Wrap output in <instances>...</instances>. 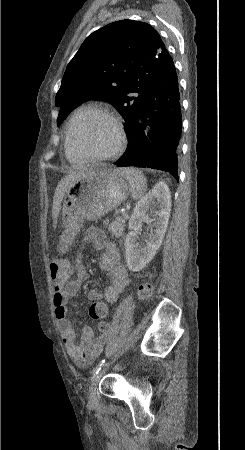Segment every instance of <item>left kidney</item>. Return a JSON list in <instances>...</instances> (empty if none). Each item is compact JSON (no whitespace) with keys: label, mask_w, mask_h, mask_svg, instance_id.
<instances>
[{"label":"left kidney","mask_w":245,"mask_h":450,"mask_svg":"<svg viewBox=\"0 0 245 450\" xmlns=\"http://www.w3.org/2000/svg\"><path fill=\"white\" fill-rule=\"evenodd\" d=\"M149 211L156 217L155 229L149 235L146 245L137 242L142 222L148 219ZM171 211V195L167 184L157 183L153 189L136 204L128 228L131 230L125 238L126 262L133 272L142 270L155 256L166 233Z\"/></svg>","instance_id":"1"}]
</instances>
